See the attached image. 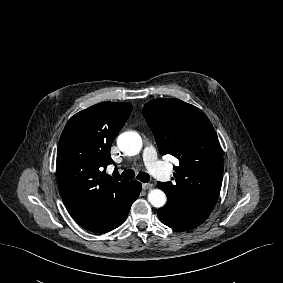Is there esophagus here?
<instances>
[{
    "label": "esophagus",
    "mask_w": 283,
    "mask_h": 283,
    "mask_svg": "<svg viewBox=\"0 0 283 283\" xmlns=\"http://www.w3.org/2000/svg\"><path fill=\"white\" fill-rule=\"evenodd\" d=\"M142 188H143L144 190L152 189V188H153V184H150V183H143V184H142Z\"/></svg>",
    "instance_id": "34e87169"
}]
</instances>
